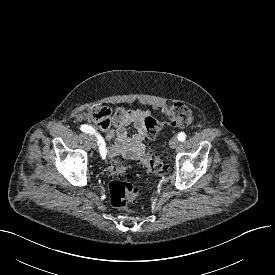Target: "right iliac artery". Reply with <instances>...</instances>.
<instances>
[{
    "instance_id": "right-iliac-artery-1",
    "label": "right iliac artery",
    "mask_w": 275,
    "mask_h": 275,
    "mask_svg": "<svg viewBox=\"0 0 275 275\" xmlns=\"http://www.w3.org/2000/svg\"><path fill=\"white\" fill-rule=\"evenodd\" d=\"M81 131L82 132H85V133H90V134H95L96 137L98 138V145H99V152H100V155L102 156V158H105L106 156V150H105V142H104V139L98 134L95 132V130L89 126V125H82L80 127Z\"/></svg>"
}]
</instances>
